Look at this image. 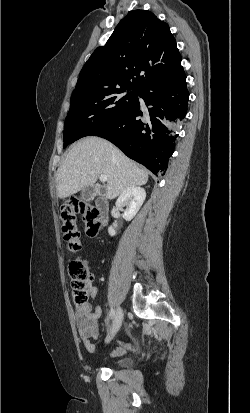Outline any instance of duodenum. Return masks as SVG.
<instances>
[{"label":"duodenum","instance_id":"obj_1","mask_svg":"<svg viewBox=\"0 0 250 413\" xmlns=\"http://www.w3.org/2000/svg\"><path fill=\"white\" fill-rule=\"evenodd\" d=\"M96 210L98 213L99 221L102 225H105L108 221L109 206L106 200L97 199L96 201Z\"/></svg>","mask_w":250,"mask_h":413}]
</instances>
